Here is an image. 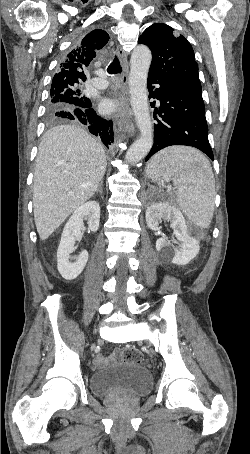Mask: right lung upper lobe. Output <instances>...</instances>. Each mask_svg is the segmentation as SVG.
Returning <instances> with one entry per match:
<instances>
[{
    "label": "right lung upper lobe",
    "instance_id": "1",
    "mask_svg": "<svg viewBox=\"0 0 250 454\" xmlns=\"http://www.w3.org/2000/svg\"><path fill=\"white\" fill-rule=\"evenodd\" d=\"M109 35L100 29L87 34L82 41L65 56L59 66V72L52 80V85L81 84L86 80L85 68L96 56V51L103 48Z\"/></svg>",
    "mask_w": 250,
    "mask_h": 454
}]
</instances>
